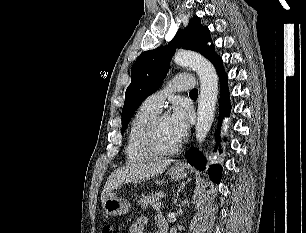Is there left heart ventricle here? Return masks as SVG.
I'll use <instances>...</instances> for the list:
<instances>
[{"label": "left heart ventricle", "instance_id": "1", "mask_svg": "<svg viewBox=\"0 0 306 233\" xmlns=\"http://www.w3.org/2000/svg\"><path fill=\"white\" fill-rule=\"evenodd\" d=\"M156 139L158 145L163 149H171L178 144L169 127V118L163 116L159 121Z\"/></svg>", "mask_w": 306, "mask_h": 233}]
</instances>
